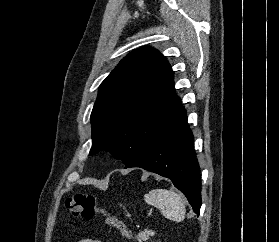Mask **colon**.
<instances>
[{"mask_svg":"<svg viewBox=\"0 0 279 242\" xmlns=\"http://www.w3.org/2000/svg\"><path fill=\"white\" fill-rule=\"evenodd\" d=\"M65 207L69 214L74 218L92 220L95 217L103 219L105 224L126 238H131L132 230L121 220L112 216L105 208L96 203L92 195L77 193L68 197L65 201Z\"/></svg>","mask_w":279,"mask_h":242,"instance_id":"5ec220e1","label":"colon"}]
</instances>
